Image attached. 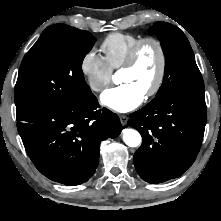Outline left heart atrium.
<instances>
[{"label": "left heart atrium", "instance_id": "1", "mask_svg": "<svg viewBox=\"0 0 221 221\" xmlns=\"http://www.w3.org/2000/svg\"><path fill=\"white\" fill-rule=\"evenodd\" d=\"M144 93L132 83L121 85L106 90L100 97L101 103L117 112L125 113L138 107L143 99Z\"/></svg>", "mask_w": 221, "mask_h": 221}]
</instances>
